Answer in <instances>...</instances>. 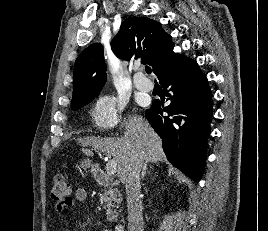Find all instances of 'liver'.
<instances>
[{"label":"liver","mask_w":268,"mask_h":231,"mask_svg":"<svg viewBox=\"0 0 268 231\" xmlns=\"http://www.w3.org/2000/svg\"><path fill=\"white\" fill-rule=\"evenodd\" d=\"M124 135L120 138H100L95 136L79 139L85 146L92 147L108 155H112L117 163V176L124 182V176L130 164L133 152H137L143 162L158 163L165 160L162 140L142 116H130L124 120ZM86 155L92 152L83 149Z\"/></svg>","instance_id":"6515ba94"}]
</instances>
